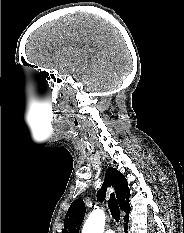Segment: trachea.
<instances>
[{
    "label": "trachea",
    "mask_w": 184,
    "mask_h": 233,
    "mask_svg": "<svg viewBox=\"0 0 184 233\" xmlns=\"http://www.w3.org/2000/svg\"><path fill=\"white\" fill-rule=\"evenodd\" d=\"M108 206H109L112 218L116 222H119L120 221V209H119V205L115 198L114 193L110 194V198L108 199Z\"/></svg>",
    "instance_id": "obj_1"
}]
</instances>
